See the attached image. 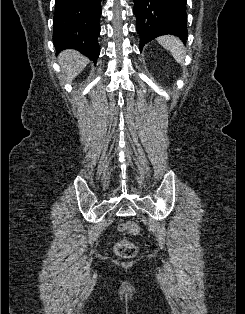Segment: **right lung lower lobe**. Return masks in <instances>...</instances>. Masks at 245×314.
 Instances as JSON below:
<instances>
[{"label":"right lung lower lobe","mask_w":245,"mask_h":314,"mask_svg":"<svg viewBox=\"0 0 245 314\" xmlns=\"http://www.w3.org/2000/svg\"><path fill=\"white\" fill-rule=\"evenodd\" d=\"M101 0H56L53 43L57 52L75 49L97 61Z\"/></svg>","instance_id":"1"}]
</instances>
